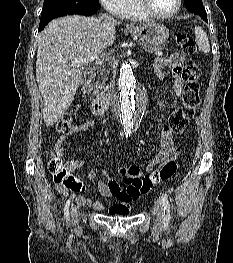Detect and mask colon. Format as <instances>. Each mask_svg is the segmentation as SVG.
<instances>
[{
  "label": "colon",
  "mask_w": 233,
  "mask_h": 263,
  "mask_svg": "<svg viewBox=\"0 0 233 263\" xmlns=\"http://www.w3.org/2000/svg\"><path fill=\"white\" fill-rule=\"evenodd\" d=\"M176 43L187 55L196 53V45L192 36L188 32H179L176 35ZM181 77L185 82L183 101L180 106L172 112L169 118L167 129L172 138L175 134H181L186 129L189 121L194 117L200 106V69L193 61H188L181 72ZM73 125L71 114H64L57 123V130L68 133ZM49 170L56 183H62L64 189H80L84 194L88 188L79 182V178H74L68 173L67 164L58 158H52L48 164ZM178 164L174 159H170L160 169L156 170L152 176L145 179L147 184L157 183L159 180L171 178L177 171ZM77 174L76 172L74 173Z\"/></svg>",
  "instance_id": "1"
}]
</instances>
